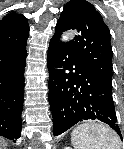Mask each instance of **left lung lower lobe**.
Wrapping results in <instances>:
<instances>
[{
  "mask_svg": "<svg viewBox=\"0 0 124 149\" xmlns=\"http://www.w3.org/2000/svg\"><path fill=\"white\" fill-rule=\"evenodd\" d=\"M47 60L54 136L92 119L106 123L122 139L112 85L97 77L66 43L59 42L57 34L50 41Z\"/></svg>",
  "mask_w": 124,
  "mask_h": 149,
  "instance_id": "0a47b994",
  "label": "left lung lower lobe"
}]
</instances>
